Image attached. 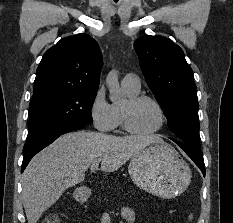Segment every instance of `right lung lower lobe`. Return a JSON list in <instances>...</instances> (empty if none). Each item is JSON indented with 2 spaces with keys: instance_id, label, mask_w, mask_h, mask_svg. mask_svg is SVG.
I'll return each mask as SVG.
<instances>
[{
  "instance_id": "1",
  "label": "right lung lower lobe",
  "mask_w": 233,
  "mask_h": 223,
  "mask_svg": "<svg viewBox=\"0 0 233 223\" xmlns=\"http://www.w3.org/2000/svg\"><path fill=\"white\" fill-rule=\"evenodd\" d=\"M83 127H85V125H82V124L66 125L62 127L61 129H59L54 134H52L51 136H49L48 138H46L41 144L36 146L34 149L24 154L21 173L24 171V169L26 168V166L28 165L29 161L32 159L33 156H35L39 151H41L43 148H45L46 146L51 144L53 141H55L59 136H61L62 134L71 132V131L81 129Z\"/></svg>"
}]
</instances>
